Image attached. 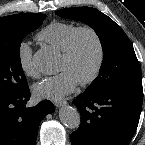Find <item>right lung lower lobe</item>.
<instances>
[{"label":"right lung lower lobe","instance_id":"98d812e1","mask_svg":"<svg viewBox=\"0 0 145 145\" xmlns=\"http://www.w3.org/2000/svg\"><path fill=\"white\" fill-rule=\"evenodd\" d=\"M29 88L15 95H0V145H35L42 119L54 112V105L43 100L27 107Z\"/></svg>","mask_w":145,"mask_h":145}]
</instances>
